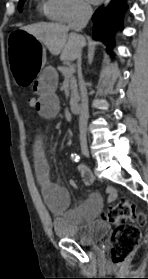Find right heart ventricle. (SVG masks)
I'll return each instance as SVG.
<instances>
[{
	"mask_svg": "<svg viewBox=\"0 0 148 279\" xmlns=\"http://www.w3.org/2000/svg\"><path fill=\"white\" fill-rule=\"evenodd\" d=\"M46 8H47V3H44V4H43V9H44L45 13L47 14Z\"/></svg>",
	"mask_w": 148,
	"mask_h": 279,
	"instance_id": "right-heart-ventricle-1",
	"label": "right heart ventricle"
}]
</instances>
